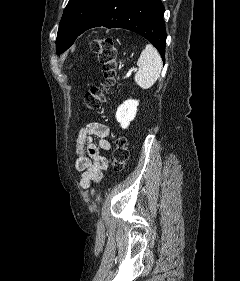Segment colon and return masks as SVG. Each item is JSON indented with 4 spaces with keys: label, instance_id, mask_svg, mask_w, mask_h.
Returning <instances> with one entry per match:
<instances>
[{
    "label": "colon",
    "instance_id": "5ec220e1",
    "mask_svg": "<svg viewBox=\"0 0 240 281\" xmlns=\"http://www.w3.org/2000/svg\"><path fill=\"white\" fill-rule=\"evenodd\" d=\"M102 66L104 82L92 87L84 97L86 107L91 111L101 109L108 91L117 83V49L112 38L96 39L91 44ZM129 157L126 139L118 137L113 150V169L120 171Z\"/></svg>",
    "mask_w": 240,
    "mask_h": 281
}]
</instances>
